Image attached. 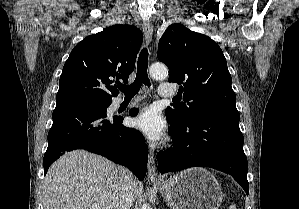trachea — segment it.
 <instances>
[{
  "instance_id": "1",
  "label": "trachea",
  "mask_w": 299,
  "mask_h": 209,
  "mask_svg": "<svg viewBox=\"0 0 299 209\" xmlns=\"http://www.w3.org/2000/svg\"><path fill=\"white\" fill-rule=\"evenodd\" d=\"M148 68V51L143 48L137 62V74L134 82L131 85H120L118 89L122 91L125 96H134L138 93L142 84L150 87V80L147 74Z\"/></svg>"
}]
</instances>
